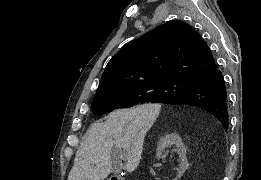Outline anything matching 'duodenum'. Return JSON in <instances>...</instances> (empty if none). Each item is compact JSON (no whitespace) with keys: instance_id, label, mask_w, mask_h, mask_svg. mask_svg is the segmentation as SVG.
<instances>
[{"instance_id":"410a0bca","label":"duodenum","mask_w":261,"mask_h":180,"mask_svg":"<svg viewBox=\"0 0 261 180\" xmlns=\"http://www.w3.org/2000/svg\"><path fill=\"white\" fill-rule=\"evenodd\" d=\"M110 180H124L123 177H111Z\"/></svg>"}]
</instances>
